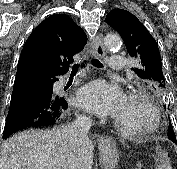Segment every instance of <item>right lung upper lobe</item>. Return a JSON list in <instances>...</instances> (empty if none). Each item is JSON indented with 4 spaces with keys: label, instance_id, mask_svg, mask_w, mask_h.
I'll list each match as a JSON object with an SVG mask.
<instances>
[{
    "label": "right lung upper lobe",
    "instance_id": "cb5924a9",
    "mask_svg": "<svg viewBox=\"0 0 177 169\" xmlns=\"http://www.w3.org/2000/svg\"><path fill=\"white\" fill-rule=\"evenodd\" d=\"M84 31L67 15H51L30 34L17 70L65 74L86 44Z\"/></svg>",
    "mask_w": 177,
    "mask_h": 169
}]
</instances>
